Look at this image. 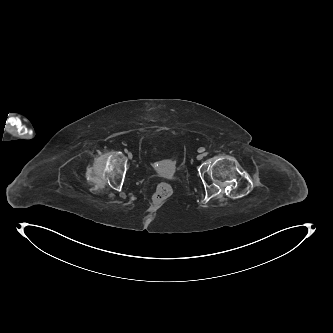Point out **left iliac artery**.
Masks as SVG:
<instances>
[{"label": "left iliac artery", "mask_w": 333, "mask_h": 333, "mask_svg": "<svg viewBox=\"0 0 333 333\" xmlns=\"http://www.w3.org/2000/svg\"><path fill=\"white\" fill-rule=\"evenodd\" d=\"M202 150H204V149H202ZM207 154H208V152H205L203 155L206 156Z\"/></svg>", "instance_id": "44dca946"}]
</instances>
